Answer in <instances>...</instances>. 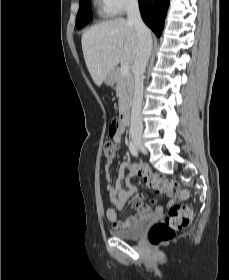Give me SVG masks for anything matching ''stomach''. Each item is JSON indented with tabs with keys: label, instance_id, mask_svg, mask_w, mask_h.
<instances>
[{
	"label": "stomach",
	"instance_id": "obj_1",
	"mask_svg": "<svg viewBox=\"0 0 229 280\" xmlns=\"http://www.w3.org/2000/svg\"><path fill=\"white\" fill-rule=\"evenodd\" d=\"M116 82V75H115V72L112 71L110 73H108L104 79V83L107 85V86H113Z\"/></svg>",
	"mask_w": 229,
	"mask_h": 280
}]
</instances>
